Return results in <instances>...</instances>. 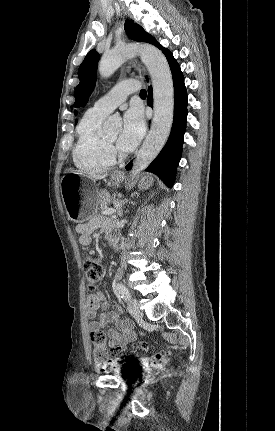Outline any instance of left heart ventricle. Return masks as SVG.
<instances>
[{
  "mask_svg": "<svg viewBox=\"0 0 275 431\" xmlns=\"http://www.w3.org/2000/svg\"><path fill=\"white\" fill-rule=\"evenodd\" d=\"M119 136H120V131L118 130V131H116V132L112 133L111 135L107 136V139H108L110 142H112V143H114V144H117V141H118Z\"/></svg>",
  "mask_w": 275,
  "mask_h": 431,
  "instance_id": "left-heart-ventricle-1",
  "label": "left heart ventricle"
}]
</instances>
